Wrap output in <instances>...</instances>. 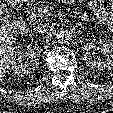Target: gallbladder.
I'll list each match as a JSON object with an SVG mask.
<instances>
[{
  "mask_svg": "<svg viewBox=\"0 0 113 113\" xmlns=\"http://www.w3.org/2000/svg\"><path fill=\"white\" fill-rule=\"evenodd\" d=\"M0 6L4 7V3L2 2V0H0Z\"/></svg>",
  "mask_w": 113,
  "mask_h": 113,
  "instance_id": "1",
  "label": "gallbladder"
}]
</instances>
